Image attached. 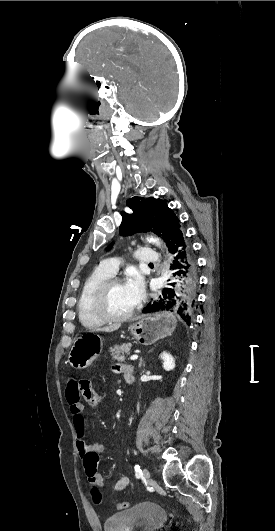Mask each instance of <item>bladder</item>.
<instances>
[{"instance_id": "obj_1", "label": "bladder", "mask_w": 275, "mask_h": 531, "mask_svg": "<svg viewBox=\"0 0 275 531\" xmlns=\"http://www.w3.org/2000/svg\"><path fill=\"white\" fill-rule=\"evenodd\" d=\"M168 511L161 504L140 502L131 508L107 516L104 531H158L166 523Z\"/></svg>"}]
</instances>
